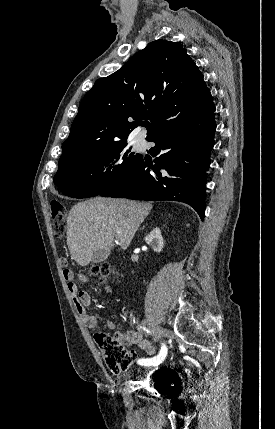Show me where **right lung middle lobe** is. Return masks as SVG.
<instances>
[{
	"instance_id": "right-lung-middle-lobe-1",
	"label": "right lung middle lobe",
	"mask_w": 275,
	"mask_h": 429,
	"mask_svg": "<svg viewBox=\"0 0 275 429\" xmlns=\"http://www.w3.org/2000/svg\"><path fill=\"white\" fill-rule=\"evenodd\" d=\"M141 158L123 140L62 165L54 176V183L70 197L97 196L125 177Z\"/></svg>"
}]
</instances>
